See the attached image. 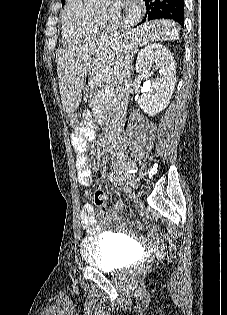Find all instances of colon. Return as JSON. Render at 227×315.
Instances as JSON below:
<instances>
[{"mask_svg": "<svg viewBox=\"0 0 227 315\" xmlns=\"http://www.w3.org/2000/svg\"><path fill=\"white\" fill-rule=\"evenodd\" d=\"M68 125L71 127H75L78 124V117L75 114H71L68 116ZM106 200V194L100 190L96 191L94 195L95 204L102 207ZM101 214H105V211H101Z\"/></svg>", "mask_w": 227, "mask_h": 315, "instance_id": "5ec220e1", "label": "colon"}]
</instances>
